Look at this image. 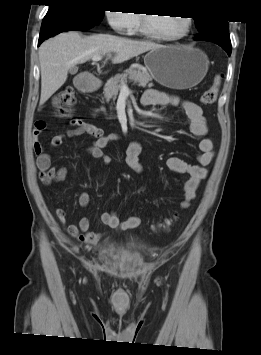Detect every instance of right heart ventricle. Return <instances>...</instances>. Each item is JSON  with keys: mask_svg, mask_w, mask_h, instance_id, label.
<instances>
[{"mask_svg": "<svg viewBox=\"0 0 261 355\" xmlns=\"http://www.w3.org/2000/svg\"><path fill=\"white\" fill-rule=\"evenodd\" d=\"M139 23H140V21H139V18H138V22H137V24L135 26V29H134V31L132 33H136V32L139 31Z\"/></svg>", "mask_w": 261, "mask_h": 355, "instance_id": "1", "label": "right heart ventricle"}]
</instances>
